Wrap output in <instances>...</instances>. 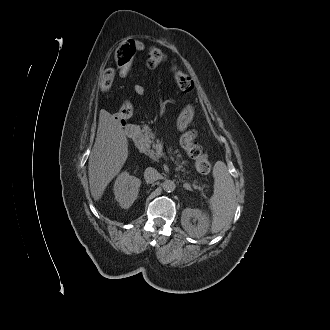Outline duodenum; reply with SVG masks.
<instances>
[{"label": "duodenum", "mask_w": 330, "mask_h": 330, "mask_svg": "<svg viewBox=\"0 0 330 330\" xmlns=\"http://www.w3.org/2000/svg\"><path fill=\"white\" fill-rule=\"evenodd\" d=\"M125 134L128 139L133 140L137 137L138 135V128L134 125H127L125 127Z\"/></svg>", "instance_id": "1"}]
</instances>
